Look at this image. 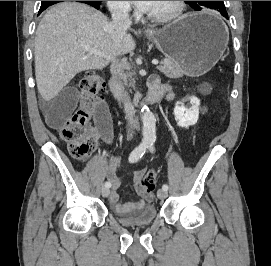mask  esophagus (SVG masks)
I'll return each mask as SVG.
<instances>
[{
    "label": "esophagus",
    "instance_id": "obj_1",
    "mask_svg": "<svg viewBox=\"0 0 271 266\" xmlns=\"http://www.w3.org/2000/svg\"><path fill=\"white\" fill-rule=\"evenodd\" d=\"M143 31H144V32H149V31H150V29H148V28H144V29H143Z\"/></svg>",
    "mask_w": 271,
    "mask_h": 266
}]
</instances>
